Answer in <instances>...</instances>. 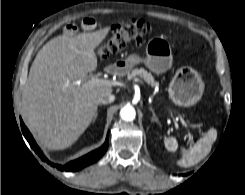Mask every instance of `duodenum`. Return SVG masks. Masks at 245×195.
I'll list each match as a JSON object with an SVG mask.
<instances>
[{"instance_id":"410a0bca","label":"duodenum","mask_w":245,"mask_h":195,"mask_svg":"<svg viewBox=\"0 0 245 195\" xmlns=\"http://www.w3.org/2000/svg\"><path fill=\"white\" fill-rule=\"evenodd\" d=\"M117 67L116 66H110L107 68V72L108 73H115L117 71Z\"/></svg>"}]
</instances>
